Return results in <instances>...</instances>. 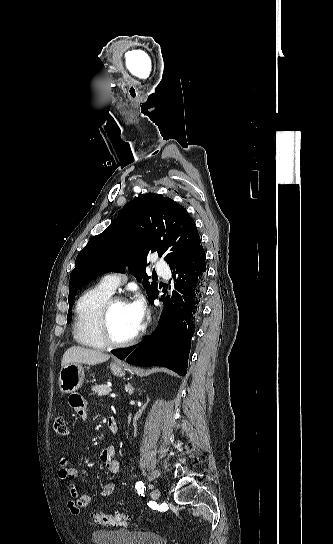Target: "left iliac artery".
<instances>
[{
	"label": "left iliac artery",
	"instance_id": "left-iliac-artery-1",
	"mask_svg": "<svg viewBox=\"0 0 333 544\" xmlns=\"http://www.w3.org/2000/svg\"><path fill=\"white\" fill-rule=\"evenodd\" d=\"M135 488L138 493H143L145 490L144 483L142 481L137 482Z\"/></svg>",
	"mask_w": 333,
	"mask_h": 544
}]
</instances>
